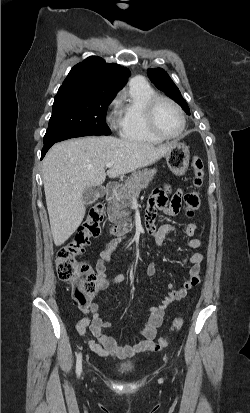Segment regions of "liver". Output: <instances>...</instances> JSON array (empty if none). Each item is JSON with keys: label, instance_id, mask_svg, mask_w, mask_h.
I'll list each match as a JSON object with an SVG mask.
<instances>
[{"label": "liver", "instance_id": "6515ba94", "mask_svg": "<svg viewBox=\"0 0 250 413\" xmlns=\"http://www.w3.org/2000/svg\"><path fill=\"white\" fill-rule=\"evenodd\" d=\"M173 147L154 146L112 136H89L55 144L42 163L43 185L54 244L61 246L79 227L85 216L83 193L148 166ZM108 162L113 166L105 172Z\"/></svg>", "mask_w": 250, "mask_h": 413}]
</instances>
